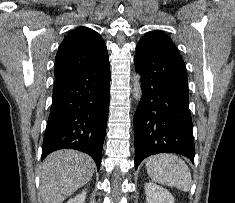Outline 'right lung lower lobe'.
I'll return each instance as SVG.
<instances>
[{
    "label": "right lung lower lobe",
    "mask_w": 235,
    "mask_h": 203,
    "mask_svg": "<svg viewBox=\"0 0 235 203\" xmlns=\"http://www.w3.org/2000/svg\"><path fill=\"white\" fill-rule=\"evenodd\" d=\"M109 87L108 56L54 84L41 160L59 149H75L89 154L99 170L109 110Z\"/></svg>",
    "instance_id": "1"
}]
</instances>
